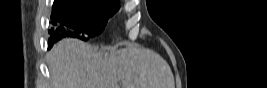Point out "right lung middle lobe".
<instances>
[{"mask_svg":"<svg viewBox=\"0 0 267 88\" xmlns=\"http://www.w3.org/2000/svg\"><path fill=\"white\" fill-rule=\"evenodd\" d=\"M118 9L119 2L112 0H55L51 19L67 26L70 36L86 41L99 35ZM50 33L49 41L60 37L56 31Z\"/></svg>","mask_w":267,"mask_h":88,"instance_id":"obj_1","label":"right lung middle lobe"}]
</instances>
